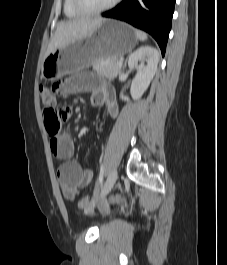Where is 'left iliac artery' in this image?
I'll list each match as a JSON object with an SVG mask.
<instances>
[{
  "mask_svg": "<svg viewBox=\"0 0 227 265\" xmlns=\"http://www.w3.org/2000/svg\"><path fill=\"white\" fill-rule=\"evenodd\" d=\"M103 176H104V165L102 164L100 167V173H99V178H98L99 185L102 184Z\"/></svg>",
  "mask_w": 227,
  "mask_h": 265,
  "instance_id": "left-iliac-artery-1",
  "label": "left iliac artery"
}]
</instances>
